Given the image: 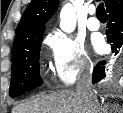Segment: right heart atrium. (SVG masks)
Segmentation results:
<instances>
[{
	"instance_id": "obj_1",
	"label": "right heart atrium",
	"mask_w": 123,
	"mask_h": 113,
	"mask_svg": "<svg viewBox=\"0 0 123 113\" xmlns=\"http://www.w3.org/2000/svg\"><path fill=\"white\" fill-rule=\"evenodd\" d=\"M52 70L55 80L69 86L77 77L92 67V61L83 44L72 36L55 32L48 38Z\"/></svg>"
}]
</instances>
